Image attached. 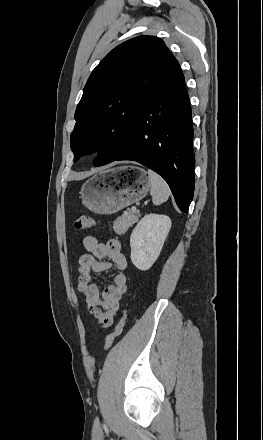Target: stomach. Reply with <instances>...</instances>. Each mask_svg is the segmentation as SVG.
Returning a JSON list of instances; mask_svg holds the SVG:
<instances>
[{
  "label": "stomach",
  "mask_w": 263,
  "mask_h": 440,
  "mask_svg": "<svg viewBox=\"0 0 263 440\" xmlns=\"http://www.w3.org/2000/svg\"><path fill=\"white\" fill-rule=\"evenodd\" d=\"M150 186L149 176L144 169L116 167L88 179L80 194L89 210L108 215L143 199Z\"/></svg>",
  "instance_id": "stomach-1"
}]
</instances>
